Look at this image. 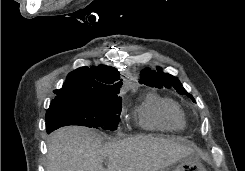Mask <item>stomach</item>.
I'll return each mask as SVG.
<instances>
[{
	"label": "stomach",
	"mask_w": 245,
	"mask_h": 171,
	"mask_svg": "<svg viewBox=\"0 0 245 171\" xmlns=\"http://www.w3.org/2000/svg\"><path fill=\"white\" fill-rule=\"evenodd\" d=\"M159 171H166L161 169ZM173 171H207L203 164L200 156L193 153L179 161V164L174 168Z\"/></svg>",
	"instance_id": "stomach-1"
}]
</instances>
